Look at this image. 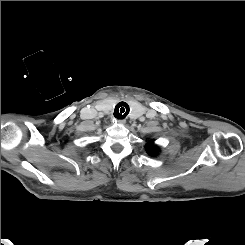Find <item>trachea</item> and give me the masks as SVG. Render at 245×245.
Segmentation results:
<instances>
[{
    "label": "trachea",
    "instance_id": "trachea-1",
    "mask_svg": "<svg viewBox=\"0 0 245 245\" xmlns=\"http://www.w3.org/2000/svg\"><path fill=\"white\" fill-rule=\"evenodd\" d=\"M130 111V107L126 102H119L115 106L114 116L118 119H124Z\"/></svg>",
    "mask_w": 245,
    "mask_h": 245
}]
</instances>
